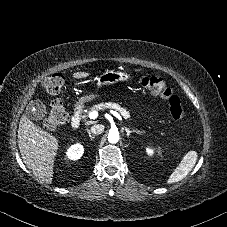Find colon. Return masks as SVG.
<instances>
[{"label": "colon", "mask_w": 227, "mask_h": 227, "mask_svg": "<svg viewBox=\"0 0 227 227\" xmlns=\"http://www.w3.org/2000/svg\"><path fill=\"white\" fill-rule=\"evenodd\" d=\"M65 84V78L61 73H54L44 81V87L51 94H58ZM140 84L154 95L169 100V111L174 120L181 121L186 116V110L181 100L174 95L172 87L161 76L145 75L141 77ZM68 113L63 103L57 99L50 105V112L44 121V127L49 131H55L66 124Z\"/></svg>", "instance_id": "1"}]
</instances>
